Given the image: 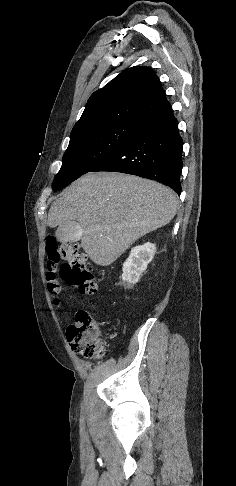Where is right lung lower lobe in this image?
I'll list each match as a JSON object with an SVG mask.
<instances>
[{"label": "right lung lower lobe", "mask_w": 236, "mask_h": 486, "mask_svg": "<svg viewBox=\"0 0 236 486\" xmlns=\"http://www.w3.org/2000/svg\"><path fill=\"white\" fill-rule=\"evenodd\" d=\"M183 140L171 107L138 123L136 134L90 172H121L156 180L181 193Z\"/></svg>", "instance_id": "obj_1"}]
</instances>
